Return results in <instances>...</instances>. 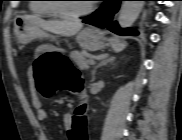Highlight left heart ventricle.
<instances>
[{
    "instance_id": "b2bd125f",
    "label": "left heart ventricle",
    "mask_w": 182,
    "mask_h": 140,
    "mask_svg": "<svg viewBox=\"0 0 182 140\" xmlns=\"http://www.w3.org/2000/svg\"><path fill=\"white\" fill-rule=\"evenodd\" d=\"M86 1H80V0H68L66 3H64V7L67 11L70 12H77L87 6Z\"/></svg>"
}]
</instances>
